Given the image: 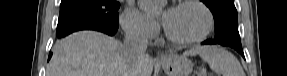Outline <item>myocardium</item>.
<instances>
[{"mask_svg": "<svg viewBox=\"0 0 287 76\" xmlns=\"http://www.w3.org/2000/svg\"><path fill=\"white\" fill-rule=\"evenodd\" d=\"M186 5H194L199 7L205 14L207 22L204 30L197 36L193 38H188V39H181L173 36L165 27H163L164 35L166 39L174 44L177 45H193L202 42L205 40L209 34L212 32L214 28V16L212 11L209 9V7L202 1L200 0H184L180 1L177 3L176 7H181V6H186Z\"/></svg>", "mask_w": 287, "mask_h": 76, "instance_id": "myocardium-1", "label": "myocardium"}]
</instances>
